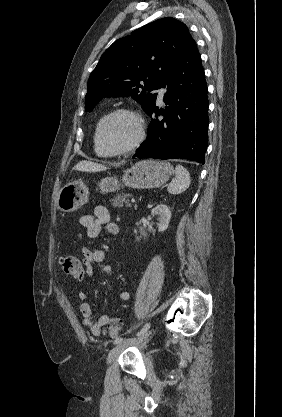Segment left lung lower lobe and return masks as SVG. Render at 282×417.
<instances>
[{"mask_svg":"<svg viewBox=\"0 0 282 417\" xmlns=\"http://www.w3.org/2000/svg\"><path fill=\"white\" fill-rule=\"evenodd\" d=\"M161 87L165 110L152 106L148 136L133 157L188 159L204 164L208 145V97L195 41L177 57ZM156 102V101H155ZM164 116L160 120L158 117Z\"/></svg>","mask_w":282,"mask_h":417,"instance_id":"1","label":"left lung lower lobe"}]
</instances>
